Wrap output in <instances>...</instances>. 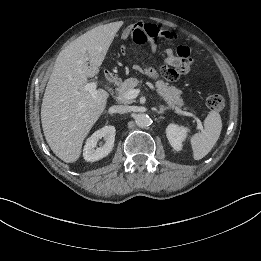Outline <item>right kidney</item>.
I'll use <instances>...</instances> for the list:
<instances>
[{"instance_id":"obj_1","label":"right kidney","mask_w":261,"mask_h":261,"mask_svg":"<svg viewBox=\"0 0 261 261\" xmlns=\"http://www.w3.org/2000/svg\"><path fill=\"white\" fill-rule=\"evenodd\" d=\"M116 129L114 126H104L94 132L87 139L83 149V157L88 162H94L106 157L113 149ZM104 138L105 143L96 148L99 139Z\"/></svg>"}]
</instances>
